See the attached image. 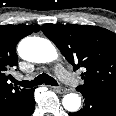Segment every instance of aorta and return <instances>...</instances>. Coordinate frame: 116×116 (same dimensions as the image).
Segmentation results:
<instances>
[{"mask_svg": "<svg viewBox=\"0 0 116 116\" xmlns=\"http://www.w3.org/2000/svg\"><path fill=\"white\" fill-rule=\"evenodd\" d=\"M18 53L24 60L35 63H49L58 57L57 49L50 40L40 37H26L18 45ZM63 107L76 112L81 106V98L76 93L64 96Z\"/></svg>", "mask_w": 116, "mask_h": 116, "instance_id": "aorta-1", "label": "aorta"}]
</instances>
